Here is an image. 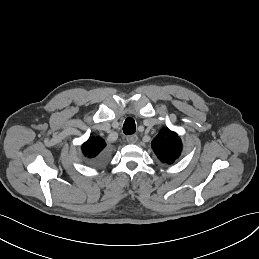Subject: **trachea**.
<instances>
[{
    "instance_id": "1",
    "label": "trachea",
    "mask_w": 259,
    "mask_h": 259,
    "mask_svg": "<svg viewBox=\"0 0 259 259\" xmlns=\"http://www.w3.org/2000/svg\"><path fill=\"white\" fill-rule=\"evenodd\" d=\"M123 131L126 135L135 133L136 126H135V121L133 120V118L129 117L125 120L124 125H123Z\"/></svg>"
}]
</instances>
